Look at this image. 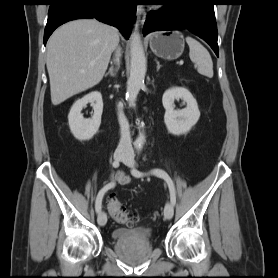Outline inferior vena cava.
Listing matches in <instances>:
<instances>
[{"label": "inferior vena cava", "instance_id": "obj_1", "mask_svg": "<svg viewBox=\"0 0 278 278\" xmlns=\"http://www.w3.org/2000/svg\"><path fill=\"white\" fill-rule=\"evenodd\" d=\"M117 61L119 62L120 49L117 50ZM118 121L121 130V138L117 147V152L125 154H133V148L131 144L130 127L128 120L126 119L122 105H118Z\"/></svg>", "mask_w": 278, "mask_h": 278}]
</instances>
